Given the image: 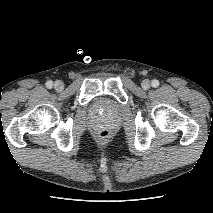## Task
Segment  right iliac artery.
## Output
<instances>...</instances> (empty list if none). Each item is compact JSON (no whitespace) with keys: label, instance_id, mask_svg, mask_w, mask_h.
Wrapping results in <instances>:
<instances>
[{"label":"right iliac artery","instance_id":"82829eb1","mask_svg":"<svg viewBox=\"0 0 213 213\" xmlns=\"http://www.w3.org/2000/svg\"><path fill=\"white\" fill-rule=\"evenodd\" d=\"M46 87L51 89L53 87V82L52 81H47L46 82Z\"/></svg>","mask_w":213,"mask_h":213}]
</instances>
